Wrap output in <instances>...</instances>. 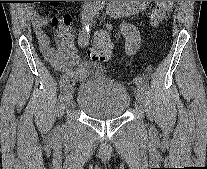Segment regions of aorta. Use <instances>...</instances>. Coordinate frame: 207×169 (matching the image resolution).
I'll list each match as a JSON object with an SVG mask.
<instances>
[{"label": "aorta", "mask_w": 207, "mask_h": 169, "mask_svg": "<svg viewBox=\"0 0 207 169\" xmlns=\"http://www.w3.org/2000/svg\"><path fill=\"white\" fill-rule=\"evenodd\" d=\"M96 3H105V1H95ZM134 1H111L112 10L116 13H125L127 12Z\"/></svg>", "instance_id": "762f6f07"}]
</instances>
